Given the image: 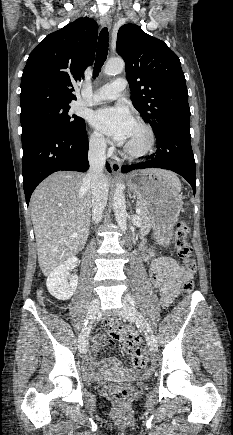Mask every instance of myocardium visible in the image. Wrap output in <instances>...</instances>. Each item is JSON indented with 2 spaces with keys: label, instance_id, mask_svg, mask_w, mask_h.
<instances>
[{
  "label": "myocardium",
  "instance_id": "1",
  "mask_svg": "<svg viewBox=\"0 0 233 435\" xmlns=\"http://www.w3.org/2000/svg\"><path fill=\"white\" fill-rule=\"evenodd\" d=\"M134 123L144 129L147 135V141L145 145L137 151L130 150L125 146L122 147L121 154L130 160L139 159L148 155L155 145V133L152 127L141 119L134 120Z\"/></svg>",
  "mask_w": 233,
  "mask_h": 435
}]
</instances>
